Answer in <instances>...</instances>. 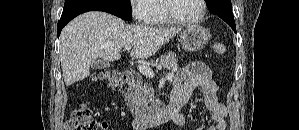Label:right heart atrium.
<instances>
[{
    "label": "right heart atrium",
    "instance_id": "obj_1",
    "mask_svg": "<svg viewBox=\"0 0 299 130\" xmlns=\"http://www.w3.org/2000/svg\"><path fill=\"white\" fill-rule=\"evenodd\" d=\"M153 0H132L131 11L138 22H147L149 19V4Z\"/></svg>",
    "mask_w": 299,
    "mask_h": 130
}]
</instances>
